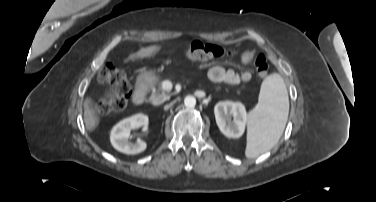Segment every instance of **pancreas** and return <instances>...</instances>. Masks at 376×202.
<instances>
[{"label":"pancreas","instance_id":"pancreas-1","mask_svg":"<svg viewBox=\"0 0 376 202\" xmlns=\"http://www.w3.org/2000/svg\"><path fill=\"white\" fill-rule=\"evenodd\" d=\"M149 85L152 88V94L149 98V101L152 104L160 105L170 98V95L162 86V81H160L159 79L151 80Z\"/></svg>","mask_w":376,"mask_h":202}]
</instances>
